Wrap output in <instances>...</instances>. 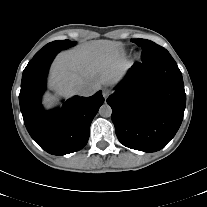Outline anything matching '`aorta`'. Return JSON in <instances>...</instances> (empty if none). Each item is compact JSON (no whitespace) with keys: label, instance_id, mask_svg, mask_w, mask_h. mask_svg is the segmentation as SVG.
Wrapping results in <instances>:
<instances>
[{"label":"aorta","instance_id":"1","mask_svg":"<svg viewBox=\"0 0 207 207\" xmlns=\"http://www.w3.org/2000/svg\"><path fill=\"white\" fill-rule=\"evenodd\" d=\"M99 114L102 117H110L112 114V108L108 104H103L99 108Z\"/></svg>","mask_w":207,"mask_h":207}]
</instances>
